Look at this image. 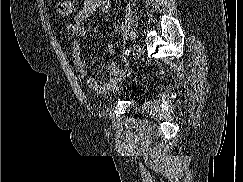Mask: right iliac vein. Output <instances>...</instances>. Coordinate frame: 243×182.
I'll return each mask as SVG.
<instances>
[{"label":"right iliac vein","instance_id":"1","mask_svg":"<svg viewBox=\"0 0 243 182\" xmlns=\"http://www.w3.org/2000/svg\"><path fill=\"white\" fill-rule=\"evenodd\" d=\"M132 52H133L134 58H138L140 56V53H141L140 45H138V44L134 45Z\"/></svg>","mask_w":243,"mask_h":182}]
</instances>
